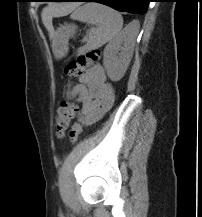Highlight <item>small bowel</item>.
I'll return each instance as SVG.
<instances>
[{"label": "small bowel", "mask_w": 202, "mask_h": 217, "mask_svg": "<svg viewBox=\"0 0 202 217\" xmlns=\"http://www.w3.org/2000/svg\"><path fill=\"white\" fill-rule=\"evenodd\" d=\"M68 93L79 100L80 114L86 125L97 122L113 102L112 86L101 65L86 70Z\"/></svg>", "instance_id": "c3829d8e"}]
</instances>
